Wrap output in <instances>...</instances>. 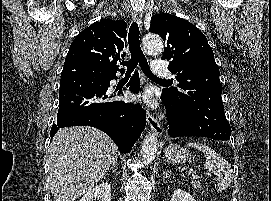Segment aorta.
Wrapping results in <instances>:
<instances>
[{
  "label": "aorta",
  "mask_w": 271,
  "mask_h": 201,
  "mask_svg": "<svg viewBox=\"0 0 271 201\" xmlns=\"http://www.w3.org/2000/svg\"><path fill=\"white\" fill-rule=\"evenodd\" d=\"M143 47L149 54L160 53L163 49L162 39L156 34H147L143 37ZM158 150V138L155 134H149L144 138L141 146V159L145 165H149L155 159Z\"/></svg>",
  "instance_id": "1"
}]
</instances>
